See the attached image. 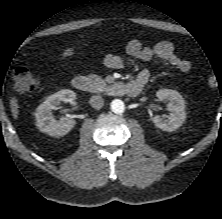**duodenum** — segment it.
<instances>
[{
  "instance_id": "410a0bca",
  "label": "duodenum",
  "mask_w": 222,
  "mask_h": 219,
  "mask_svg": "<svg viewBox=\"0 0 222 219\" xmlns=\"http://www.w3.org/2000/svg\"><path fill=\"white\" fill-rule=\"evenodd\" d=\"M89 79L85 75H77L72 79L73 87L80 91L86 92L89 89ZM143 85L139 82H114L109 86V91L114 95H129V96H137L140 94Z\"/></svg>"
}]
</instances>
